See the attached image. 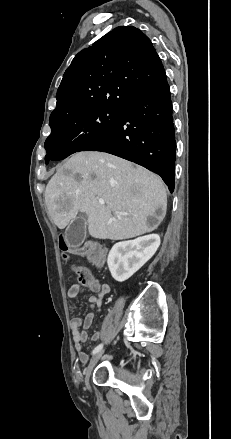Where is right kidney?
<instances>
[{"instance_id": "right-kidney-1", "label": "right kidney", "mask_w": 231, "mask_h": 439, "mask_svg": "<svg viewBox=\"0 0 231 439\" xmlns=\"http://www.w3.org/2000/svg\"><path fill=\"white\" fill-rule=\"evenodd\" d=\"M159 246L160 237L157 234L116 243L107 260L112 277L118 282L127 280L155 254Z\"/></svg>"}]
</instances>
